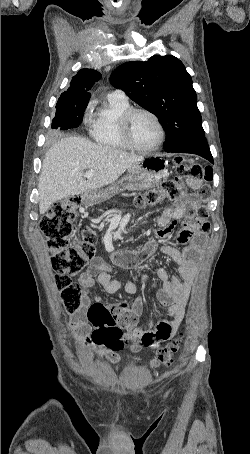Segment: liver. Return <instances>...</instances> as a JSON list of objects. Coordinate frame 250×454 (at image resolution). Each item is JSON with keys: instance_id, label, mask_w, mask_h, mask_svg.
Segmentation results:
<instances>
[{"instance_id": "6515ba94", "label": "liver", "mask_w": 250, "mask_h": 454, "mask_svg": "<svg viewBox=\"0 0 250 454\" xmlns=\"http://www.w3.org/2000/svg\"><path fill=\"white\" fill-rule=\"evenodd\" d=\"M144 159L82 137H66L45 154L39 178V211L43 215L54 202L113 184L133 164ZM84 170L95 175L84 179Z\"/></svg>"}]
</instances>
